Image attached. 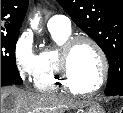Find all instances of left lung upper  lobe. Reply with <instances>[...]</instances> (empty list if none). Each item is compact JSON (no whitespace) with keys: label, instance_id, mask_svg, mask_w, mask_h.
I'll return each mask as SVG.
<instances>
[{"label":"left lung upper lobe","instance_id":"left-lung-upper-lobe-1","mask_svg":"<svg viewBox=\"0 0 123 113\" xmlns=\"http://www.w3.org/2000/svg\"><path fill=\"white\" fill-rule=\"evenodd\" d=\"M108 58L105 94L123 95V0H57Z\"/></svg>","mask_w":123,"mask_h":113}]
</instances>
